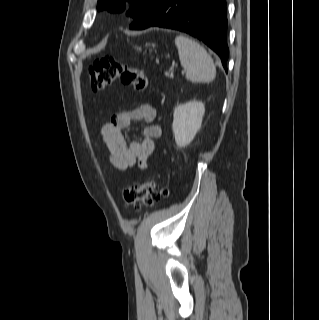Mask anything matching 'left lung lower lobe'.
Segmentation results:
<instances>
[{
	"label": "left lung lower lobe",
	"mask_w": 319,
	"mask_h": 320,
	"mask_svg": "<svg viewBox=\"0 0 319 320\" xmlns=\"http://www.w3.org/2000/svg\"><path fill=\"white\" fill-rule=\"evenodd\" d=\"M163 27L180 30L211 48L227 71L229 50L226 41V0H158L130 29Z\"/></svg>",
	"instance_id": "0a47b994"
}]
</instances>
